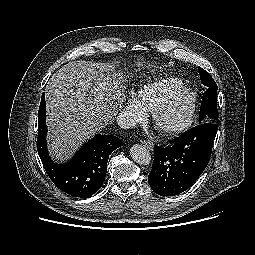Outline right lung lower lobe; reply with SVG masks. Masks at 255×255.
Masks as SVG:
<instances>
[{
  "instance_id": "98d812e1",
  "label": "right lung lower lobe",
  "mask_w": 255,
  "mask_h": 255,
  "mask_svg": "<svg viewBox=\"0 0 255 255\" xmlns=\"http://www.w3.org/2000/svg\"><path fill=\"white\" fill-rule=\"evenodd\" d=\"M46 135V105L43 93L38 110V154L56 187L80 198L89 197L101 188L109 156L122 146L121 140L116 136L97 134L76 152L70 162L57 164L48 154Z\"/></svg>"
}]
</instances>
